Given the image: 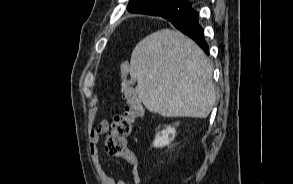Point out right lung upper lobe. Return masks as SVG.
I'll return each mask as SVG.
<instances>
[{
  "label": "right lung upper lobe",
  "instance_id": "1",
  "mask_svg": "<svg viewBox=\"0 0 293 184\" xmlns=\"http://www.w3.org/2000/svg\"><path fill=\"white\" fill-rule=\"evenodd\" d=\"M188 7H191L188 0H130L128 10L132 13L168 18L178 10Z\"/></svg>",
  "mask_w": 293,
  "mask_h": 184
}]
</instances>
